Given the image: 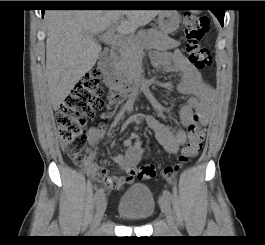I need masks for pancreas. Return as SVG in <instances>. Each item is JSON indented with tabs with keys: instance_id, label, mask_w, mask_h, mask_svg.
Instances as JSON below:
<instances>
[{
	"instance_id": "1",
	"label": "pancreas",
	"mask_w": 265,
	"mask_h": 245,
	"mask_svg": "<svg viewBox=\"0 0 265 245\" xmlns=\"http://www.w3.org/2000/svg\"><path fill=\"white\" fill-rule=\"evenodd\" d=\"M131 42L122 45L115 62L116 70L123 75L127 82H132L137 72V62L142 48H153L160 51L169 50L180 45V42L168 37L156 29L141 31Z\"/></svg>"
}]
</instances>
